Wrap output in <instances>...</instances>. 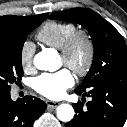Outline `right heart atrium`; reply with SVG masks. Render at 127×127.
<instances>
[{"instance_id": "1", "label": "right heart atrium", "mask_w": 127, "mask_h": 127, "mask_svg": "<svg viewBox=\"0 0 127 127\" xmlns=\"http://www.w3.org/2000/svg\"><path fill=\"white\" fill-rule=\"evenodd\" d=\"M35 45L26 40L20 49V61L24 69L31 70L34 67Z\"/></svg>"}]
</instances>
